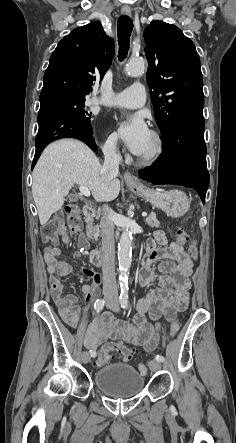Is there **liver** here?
Listing matches in <instances>:
<instances>
[{
    "mask_svg": "<svg viewBox=\"0 0 236 443\" xmlns=\"http://www.w3.org/2000/svg\"><path fill=\"white\" fill-rule=\"evenodd\" d=\"M101 168L94 152L79 140L61 139L48 145L33 171L32 194L40 224L45 225L63 206L74 184L88 188L96 201L117 198L119 180H105Z\"/></svg>",
    "mask_w": 236,
    "mask_h": 443,
    "instance_id": "liver-1",
    "label": "liver"
}]
</instances>
